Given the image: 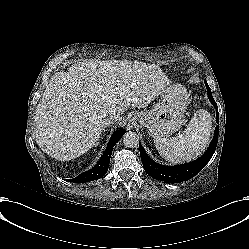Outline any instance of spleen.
Instances as JSON below:
<instances>
[{"label":"spleen","mask_w":249,"mask_h":249,"mask_svg":"<svg viewBox=\"0 0 249 249\" xmlns=\"http://www.w3.org/2000/svg\"><path fill=\"white\" fill-rule=\"evenodd\" d=\"M211 119L208 112L199 109L182 134L170 138H155L159 154L172 163L190 161L199 156L210 139Z\"/></svg>","instance_id":"1"}]
</instances>
